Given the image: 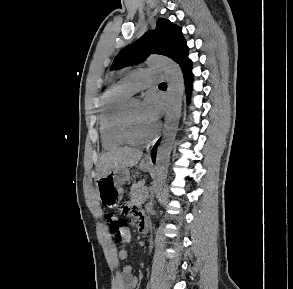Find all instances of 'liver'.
<instances>
[{
	"instance_id": "6515ba94",
	"label": "liver",
	"mask_w": 293,
	"mask_h": 289,
	"mask_svg": "<svg viewBox=\"0 0 293 289\" xmlns=\"http://www.w3.org/2000/svg\"><path fill=\"white\" fill-rule=\"evenodd\" d=\"M143 153L132 148H117L105 153L100 160V177L106 176L113 168L133 167L141 159Z\"/></svg>"
}]
</instances>
